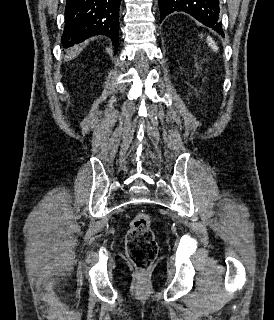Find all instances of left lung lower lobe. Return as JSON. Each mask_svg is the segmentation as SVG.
I'll list each match as a JSON object with an SVG mask.
<instances>
[{
	"instance_id": "1",
	"label": "left lung lower lobe",
	"mask_w": 274,
	"mask_h": 320,
	"mask_svg": "<svg viewBox=\"0 0 274 320\" xmlns=\"http://www.w3.org/2000/svg\"><path fill=\"white\" fill-rule=\"evenodd\" d=\"M160 22L174 11H184L224 36L219 22V0H159Z\"/></svg>"
}]
</instances>
